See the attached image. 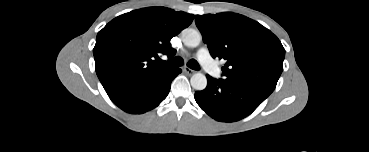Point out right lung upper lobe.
I'll use <instances>...</instances> for the list:
<instances>
[{
    "label": "right lung upper lobe",
    "instance_id": "cb5924a9",
    "mask_svg": "<svg viewBox=\"0 0 369 152\" xmlns=\"http://www.w3.org/2000/svg\"><path fill=\"white\" fill-rule=\"evenodd\" d=\"M194 16L165 7H149L120 15L96 38L93 49L96 73L108 95L133 83L164 73L159 54L168 57L176 50L169 42L188 27Z\"/></svg>",
    "mask_w": 369,
    "mask_h": 152
}]
</instances>
